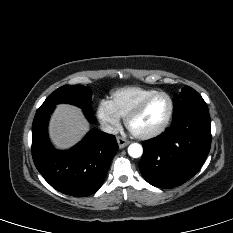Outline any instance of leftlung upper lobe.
<instances>
[{"label": "left lung upper lobe", "mask_w": 233, "mask_h": 233, "mask_svg": "<svg viewBox=\"0 0 233 233\" xmlns=\"http://www.w3.org/2000/svg\"><path fill=\"white\" fill-rule=\"evenodd\" d=\"M173 104V118L192 109H208L201 95L189 86L182 88L179 94H175Z\"/></svg>", "instance_id": "left-lung-upper-lobe-1"}]
</instances>
